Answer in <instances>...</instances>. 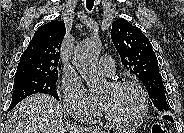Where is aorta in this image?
Segmentation results:
<instances>
[{"label":"aorta","instance_id":"1","mask_svg":"<svg viewBox=\"0 0 184 133\" xmlns=\"http://www.w3.org/2000/svg\"><path fill=\"white\" fill-rule=\"evenodd\" d=\"M100 51L101 41L97 36L83 40L74 48V63L90 91L99 90L106 82L96 66Z\"/></svg>","mask_w":184,"mask_h":133}]
</instances>
